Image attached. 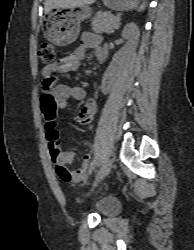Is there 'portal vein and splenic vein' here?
Here are the masks:
<instances>
[{"instance_id": "18ae733b", "label": "portal vein and splenic vein", "mask_w": 194, "mask_h": 250, "mask_svg": "<svg viewBox=\"0 0 194 250\" xmlns=\"http://www.w3.org/2000/svg\"><path fill=\"white\" fill-rule=\"evenodd\" d=\"M120 19H121L120 16H117V17H116V20H117V21H120Z\"/></svg>"}]
</instances>
